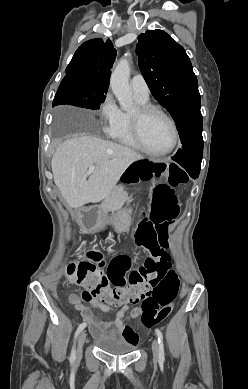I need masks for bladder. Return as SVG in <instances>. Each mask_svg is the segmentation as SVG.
Wrapping results in <instances>:
<instances>
[{
	"instance_id": "obj_1",
	"label": "bladder",
	"mask_w": 248,
	"mask_h": 389,
	"mask_svg": "<svg viewBox=\"0 0 248 389\" xmlns=\"http://www.w3.org/2000/svg\"><path fill=\"white\" fill-rule=\"evenodd\" d=\"M93 343L102 351L116 356L128 355L135 351L136 344L124 335H109L104 332L93 334Z\"/></svg>"
}]
</instances>
